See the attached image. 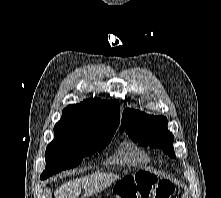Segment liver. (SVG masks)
<instances>
[{
  "instance_id": "6515ba94",
  "label": "liver",
  "mask_w": 221,
  "mask_h": 198,
  "mask_svg": "<svg viewBox=\"0 0 221 198\" xmlns=\"http://www.w3.org/2000/svg\"><path fill=\"white\" fill-rule=\"evenodd\" d=\"M118 178L119 176L113 173L96 172L63 183L54 191V196L55 198H78L81 194V189L83 188L85 191L84 196L89 197L101 192Z\"/></svg>"
}]
</instances>
